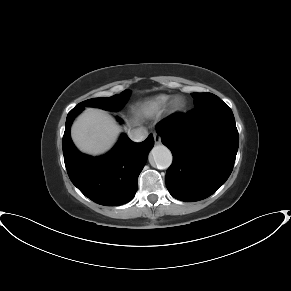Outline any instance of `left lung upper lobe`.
Here are the masks:
<instances>
[{"label":"left lung upper lobe","mask_w":291,"mask_h":291,"mask_svg":"<svg viewBox=\"0 0 291 291\" xmlns=\"http://www.w3.org/2000/svg\"><path fill=\"white\" fill-rule=\"evenodd\" d=\"M194 98L195 108L206 106L220 98L212 93H192Z\"/></svg>","instance_id":"5c2ea615"}]
</instances>
